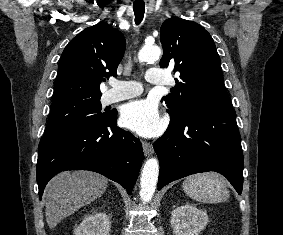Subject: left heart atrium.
Returning <instances> with one entry per match:
<instances>
[{
	"instance_id": "left-heart-atrium-1",
	"label": "left heart atrium",
	"mask_w": 283,
	"mask_h": 235,
	"mask_svg": "<svg viewBox=\"0 0 283 235\" xmlns=\"http://www.w3.org/2000/svg\"><path fill=\"white\" fill-rule=\"evenodd\" d=\"M121 122L143 137L157 136L164 128V122L156 105L148 100L127 103L121 111Z\"/></svg>"
}]
</instances>
